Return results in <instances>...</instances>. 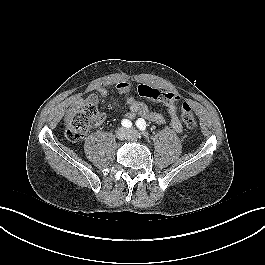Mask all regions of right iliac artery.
Masks as SVG:
<instances>
[{
    "label": "right iliac artery",
    "mask_w": 265,
    "mask_h": 265,
    "mask_svg": "<svg viewBox=\"0 0 265 265\" xmlns=\"http://www.w3.org/2000/svg\"><path fill=\"white\" fill-rule=\"evenodd\" d=\"M121 124H122L123 127H126V128H131L132 127V122L130 120H128V119H123Z\"/></svg>",
    "instance_id": "obj_1"
}]
</instances>
